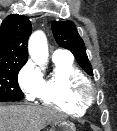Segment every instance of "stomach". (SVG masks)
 Masks as SVG:
<instances>
[{
    "mask_svg": "<svg viewBox=\"0 0 117 131\" xmlns=\"http://www.w3.org/2000/svg\"><path fill=\"white\" fill-rule=\"evenodd\" d=\"M49 131H76V126L69 120L59 119L52 123Z\"/></svg>",
    "mask_w": 117,
    "mask_h": 131,
    "instance_id": "stomach-1",
    "label": "stomach"
}]
</instances>
